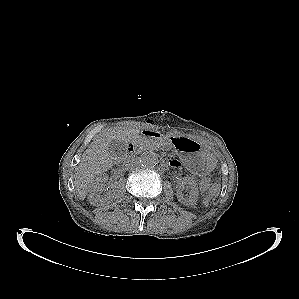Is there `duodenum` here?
Here are the masks:
<instances>
[{
	"label": "duodenum",
	"mask_w": 299,
	"mask_h": 299,
	"mask_svg": "<svg viewBox=\"0 0 299 299\" xmlns=\"http://www.w3.org/2000/svg\"><path fill=\"white\" fill-rule=\"evenodd\" d=\"M142 135L143 136H150V135H152V132H150V131H143ZM135 148H136L135 141H131V142L128 143L127 150H128V152L130 154H132L135 151Z\"/></svg>",
	"instance_id": "1"
}]
</instances>
